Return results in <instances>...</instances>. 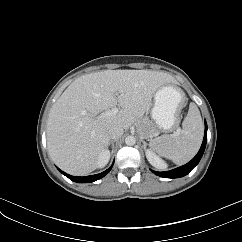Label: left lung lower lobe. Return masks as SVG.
I'll use <instances>...</instances> for the list:
<instances>
[{"mask_svg":"<svg viewBox=\"0 0 242 242\" xmlns=\"http://www.w3.org/2000/svg\"><path fill=\"white\" fill-rule=\"evenodd\" d=\"M206 141H207V124L205 122L204 139L197 155L190 162H188L187 164L181 167H178L170 171H165V172H155V174L164 178H179L187 175L199 163L206 147Z\"/></svg>","mask_w":242,"mask_h":242,"instance_id":"obj_1","label":"left lung lower lobe"}]
</instances>
